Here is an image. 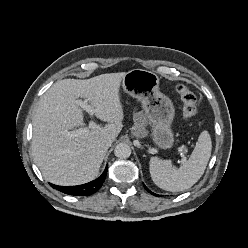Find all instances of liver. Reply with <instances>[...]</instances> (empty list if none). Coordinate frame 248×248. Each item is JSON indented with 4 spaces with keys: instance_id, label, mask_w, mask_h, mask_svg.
<instances>
[{
    "instance_id": "obj_1",
    "label": "liver",
    "mask_w": 248,
    "mask_h": 248,
    "mask_svg": "<svg viewBox=\"0 0 248 248\" xmlns=\"http://www.w3.org/2000/svg\"><path fill=\"white\" fill-rule=\"evenodd\" d=\"M125 75L120 72L85 80H58L41 97L32 121L31 147L34 161L47 181L79 185L97 176L107 151L99 141H114L123 127L119 90ZM80 97L95 109L96 117L108 124L68 137L67 132L84 125L83 111L77 104Z\"/></svg>"
}]
</instances>
